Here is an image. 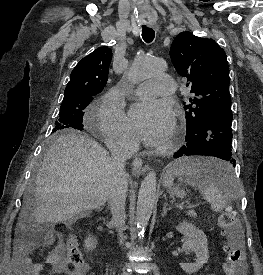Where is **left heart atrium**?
<instances>
[{
  "instance_id": "left-heart-atrium-1",
  "label": "left heart atrium",
  "mask_w": 263,
  "mask_h": 275,
  "mask_svg": "<svg viewBox=\"0 0 263 275\" xmlns=\"http://www.w3.org/2000/svg\"><path fill=\"white\" fill-rule=\"evenodd\" d=\"M129 117L134 134L150 146L164 144L174 131V113L165 101L137 103L131 108Z\"/></svg>"
}]
</instances>
